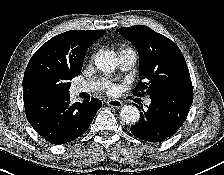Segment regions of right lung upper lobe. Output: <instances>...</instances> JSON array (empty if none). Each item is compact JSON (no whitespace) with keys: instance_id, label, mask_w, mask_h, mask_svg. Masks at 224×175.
<instances>
[{"instance_id":"1","label":"right lung upper lobe","mask_w":224,"mask_h":175,"mask_svg":"<svg viewBox=\"0 0 224 175\" xmlns=\"http://www.w3.org/2000/svg\"><path fill=\"white\" fill-rule=\"evenodd\" d=\"M104 33V30H71L44 43L25 70L23 98L42 94L49 80L61 82L79 75L88 48Z\"/></svg>"}]
</instances>
